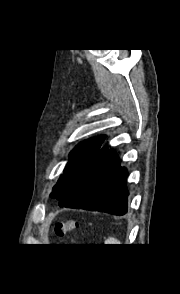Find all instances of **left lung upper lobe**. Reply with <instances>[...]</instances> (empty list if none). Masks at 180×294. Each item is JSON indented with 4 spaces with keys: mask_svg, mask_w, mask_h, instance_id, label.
<instances>
[{
    "mask_svg": "<svg viewBox=\"0 0 180 294\" xmlns=\"http://www.w3.org/2000/svg\"><path fill=\"white\" fill-rule=\"evenodd\" d=\"M105 137L101 135L85 140L71 151L64 172L50 194L51 198L61 200L67 195L74 181L98 153Z\"/></svg>",
    "mask_w": 180,
    "mask_h": 294,
    "instance_id": "left-lung-upper-lobe-1",
    "label": "left lung upper lobe"
}]
</instances>
